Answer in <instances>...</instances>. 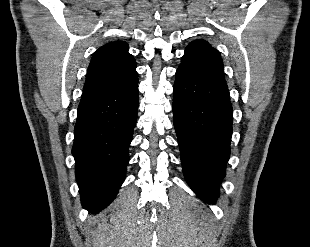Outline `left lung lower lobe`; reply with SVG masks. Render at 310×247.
Returning <instances> with one entry per match:
<instances>
[{
    "instance_id": "left-lung-lower-lobe-1",
    "label": "left lung lower lobe",
    "mask_w": 310,
    "mask_h": 247,
    "mask_svg": "<svg viewBox=\"0 0 310 247\" xmlns=\"http://www.w3.org/2000/svg\"><path fill=\"white\" fill-rule=\"evenodd\" d=\"M174 127L186 181L207 202L218 197L232 135V106L223 80L177 69Z\"/></svg>"
}]
</instances>
